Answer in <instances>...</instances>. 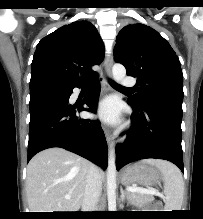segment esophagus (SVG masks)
Here are the masks:
<instances>
[{
	"label": "esophagus",
	"mask_w": 203,
	"mask_h": 219,
	"mask_svg": "<svg viewBox=\"0 0 203 219\" xmlns=\"http://www.w3.org/2000/svg\"><path fill=\"white\" fill-rule=\"evenodd\" d=\"M112 64H113V57H112V55H108L106 58L105 72H104V76L102 79V83H103V87H104L105 91L109 90V80L112 77V72H111ZM103 129H104L107 143H108L109 147L111 148V146H112L111 132L107 127H103Z\"/></svg>",
	"instance_id": "34e87169"
}]
</instances>
